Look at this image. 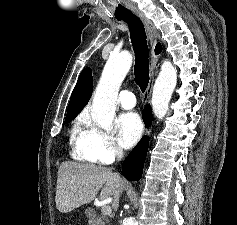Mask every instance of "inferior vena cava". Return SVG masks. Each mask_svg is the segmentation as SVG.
Wrapping results in <instances>:
<instances>
[{
  "label": "inferior vena cava",
  "instance_id": "obj_1",
  "mask_svg": "<svg viewBox=\"0 0 237 225\" xmlns=\"http://www.w3.org/2000/svg\"><path fill=\"white\" fill-rule=\"evenodd\" d=\"M116 156L117 159L120 160L122 158L123 150L120 147H116ZM117 177L120 178V176L116 173Z\"/></svg>",
  "mask_w": 237,
  "mask_h": 225
}]
</instances>
